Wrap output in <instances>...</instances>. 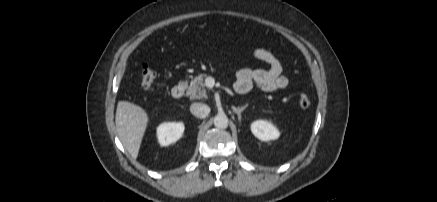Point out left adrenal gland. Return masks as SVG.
I'll use <instances>...</instances> for the list:
<instances>
[{
    "instance_id": "a2214340",
    "label": "left adrenal gland",
    "mask_w": 437,
    "mask_h": 202,
    "mask_svg": "<svg viewBox=\"0 0 437 202\" xmlns=\"http://www.w3.org/2000/svg\"><path fill=\"white\" fill-rule=\"evenodd\" d=\"M247 104L242 107H233V112L237 114L238 120L241 122V113L247 108Z\"/></svg>"
}]
</instances>
